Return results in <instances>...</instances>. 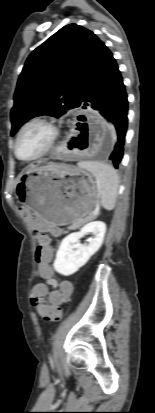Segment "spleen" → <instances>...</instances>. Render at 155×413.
Listing matches in <instances>:
<instances>
[{
    "instance_id": "1",
    "label": "spleen",
    "mask_w": 155,
    "mask_h": 413,
    "mask_svg": "<svg viewBox=\"0 0 155 413\" xmlns=\"http://www.w3.org/2000/svg\"><path fill=\"white\" fill-rule=\"evenodd\" d=\"M78 166L95 177L101 206L106 210H112L115 207L119 186V177L115 169L109 164L97 161H82Z\"/></svg>"
}]
</instances>
